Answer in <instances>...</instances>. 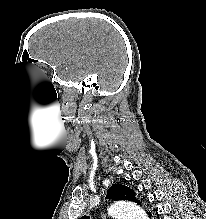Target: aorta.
Segmentation results:
<instances>
[{"mask_svg":"<svg viewBox=\"0 0 206 219\" xmlns=\"http://www.w3.org/2000/svg\"><path fill=\"white\" fill-rule=\"evenodd\" d=\"M109 213L116 219H149L139 206L129 201H116L109 207Z\"/></svg>","mask_w":206,"mask_h":219,"instance_id":"aorta-1","label":"aorta"}]
</instances>
